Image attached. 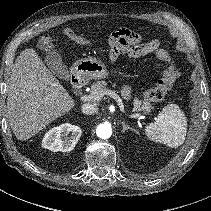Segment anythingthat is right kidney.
Instances as JSON below:
<instances>
[{
  "mask_svg": "<svg viewBox=\"0 0 211 211\" xmlns=\"http://www.w3.org/2000/svg\"><path fill=\"white\" fill-rule=\"evenodd\" d=\"M81 134L80 127L68 123L62 124L50 129L44 135L42 146L53 152H69L75 148Z\"/></svg>",
  "mask_w": 211,
  "mask_h": 211,
  "instance_id": "right-kidney-1",
  "label": "right kidney"
}]
</instances>
